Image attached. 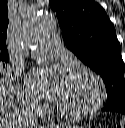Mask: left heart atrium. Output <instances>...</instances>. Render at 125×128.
<instances>
[{
    "mask_svg": "<svg viewBox=\"0 0 125 128\" xmlns=\"http://www.w3.org/2000/svg\"><path fill=\"white\" fill-rule=\"evenodd\" d=\"M67 74L60 67L39 68L26 77V85L44 99L57 102L63 92Z\"/></svg>",
    "mask_w": 125,
    "mask_h": 128,
    "instance_id": "1",
    "label": "left heart atrium"
}]
</instances>
